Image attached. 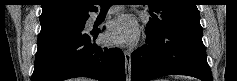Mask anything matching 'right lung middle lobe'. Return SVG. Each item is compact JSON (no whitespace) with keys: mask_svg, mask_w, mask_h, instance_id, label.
Here are the masks:
<instances>
[{"mask_svg":"<svg viewBox=\"0 0 237 81\" xmlns=\"http://www.w3.org/2000/svg\"><path fill=\"white\" fill-rule=\"evenodd\" d=\"M86 19V16L83 17H72V18H65V19H60V20H54V21H49V22H58V21H75V22H84ZM47 23V22H46ZM42 24V23H41Z\"/></svg>","mask_w":237,"mask_h":81,"instance_id":"obj_1","label":"right lung middle lobe"}]
</instances>
